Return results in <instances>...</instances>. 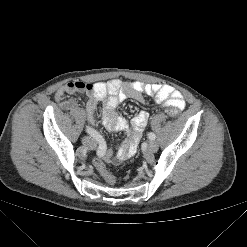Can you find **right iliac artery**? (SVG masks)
<instances>
[{"label": "right iliac artery", "mask_w": 247, "mask_h": 247, "mask_svg": "<svg viewBox=\"0 0 247 247\" xmlns=\"http://www.w3.org/2000/svg\"><path fill=\"white\" fill-rule=\"evenodd\" d=\"M86 132L99 143V146L96 148V153L99 156H104L107 153V148L102 136L96 130L88 126L86 127Z\"/></svg>", "instance_id": "1"}]
</instances>
